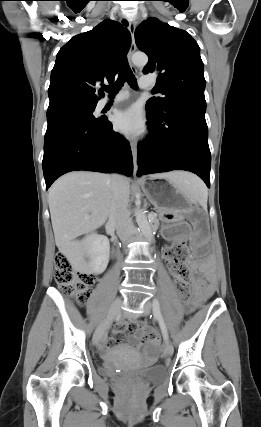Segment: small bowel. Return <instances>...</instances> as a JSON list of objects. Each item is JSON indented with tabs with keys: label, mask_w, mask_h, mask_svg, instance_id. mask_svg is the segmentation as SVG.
<instances>
[{
	"label": "small bowel",
	"mask_w": 261,
	"mask_h": 427,
	"mask_svg": "<svg viewBox=\"0 0 261 427\" xmlns=\"http://www.w3.org/2000/svg\"><path fill=\"white\" fill-rule=\"evenodd\" d=\"M207 280H208L207 281L208 283L206 286L202 285L201 283H196L194 285V298L190 303L186 305L187 311H192L200 301L205 299L213 291L214 289L213 281L211 280V278H208ZM140 329H141V324L138 319H131L130 322L127 323V325L124 323H120L115 328L113 333L108 336L105 343L103 342L101 343V347L102 348H104L105 346L108 348L113 347L117 345L119 342H121V337L125 334L127 330L129 331L130 334H137ZM128 342L130 346L134 349L138 348L140 345L138 335H131L128 338ZM146 353L150 358L152 359L156 358L158 353V337L157 336L156 338L150 340L146 345Z\"/></svg>",
	"instance_id": "small-bowel-1"
}]
</instances>
